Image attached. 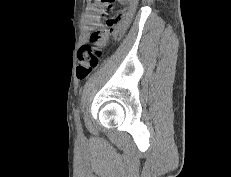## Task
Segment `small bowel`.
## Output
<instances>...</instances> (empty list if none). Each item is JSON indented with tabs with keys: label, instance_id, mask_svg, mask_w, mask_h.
I'll return each instance as SVG.
<instances>
[{
	"label": "small bowel",
	"instance_id": "small-bowel-1",
	"mask_svg": "<svg viewBox=\"0 0 231 177\" xmlns=\"http://www.w3.org/2000/svg\"><path fill=\"white\" fill-rule=\"evenodd\" d=\"M96 1L99 2V0H96ZM99 3H100V2H99ZM96 11H97V7H96V6H93V7L91 8V12L85 16V24H86L87 26H89V25H91V24H95V23L97 22ZM128 22H129L128 17H126V18L124 19V21H123V22L120 24V26L118 27L116 33H117V34L123 33L124 30L126 29L127 25H128ZM103 43H104V40L101 41L98 45L101 46V45H103Z\"/></svg>",
	"mask_w": 231,
	"mask_h": 177
}]
</instances>
